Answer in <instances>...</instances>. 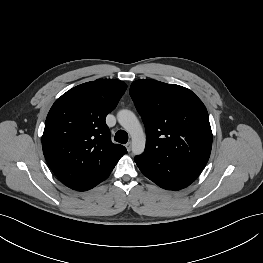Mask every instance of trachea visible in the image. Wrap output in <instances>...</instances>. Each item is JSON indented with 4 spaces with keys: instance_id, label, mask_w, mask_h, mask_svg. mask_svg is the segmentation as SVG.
<instances>
[{
    "instance_id": "1",
    "label": "trachea",
    "mask_w": 263,
    "mask_h": 263,
    "mask_svg": "<svg viewBox=\"0 0 263 263\" xmlns=\"http://www.w3.org/2000/svg\"><path fill=\"white\" fill-rule=\"evenodd\" d=\"M114 139H115V141H117L121 144H125L128 141V134L124 130H119L116 132Z\"/></svg>"
}]
</instances>
